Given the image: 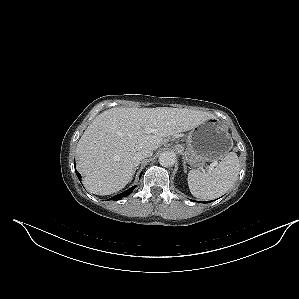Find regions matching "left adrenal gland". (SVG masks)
I'll use <instances>...</instances> for the list:
<instances>
[{
	"label": "left adrenal gland",
	"instance_id": "a2214340",
	"mask_svg": "<svg viewBox=\"0 0 299 299\" xmlns=\"http://www.w3.org/2000/svg\"><path fill=\"white\" fill-rule=\"evenodd\" d=\"M183 168H184V172L186 173V172H187V165H186L185 160H184V162H183Z\"/></svg>",
	"mask_w": 299,
	"mask_h": 299
}]
</instances>
